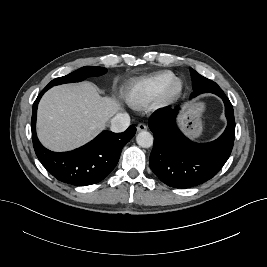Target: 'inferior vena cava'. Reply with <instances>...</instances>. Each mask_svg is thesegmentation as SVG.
<instances>
[{
  "instance_id": "obj_1",
  "label": "inferior vena cava",
  "mask_w": 267,
  "mask_h": 267,
  "mask_svg": "<svg viewBox=\"0 0 267 267\" xmlns=\"http://www.w3.org/2000/svg\"><path fill=\"white\" fill-rule=\"evenodd\" d=\"M130 125V116L127 113H117L111 119L110 129L115 133L124 132Z\"/></svg>"
}]
</instances>
